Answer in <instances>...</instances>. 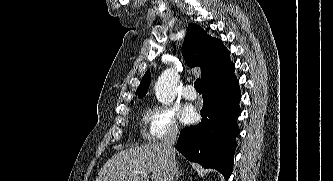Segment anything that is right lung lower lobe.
Here are the masks:
<instances>
[{"instance_id":"obj_1","label":"right lung lower lobe","mask_w":333,"mask_h":181,"mask_svg":"<svg viewBox=\"0 0 333 181\" xmlns=\"http://www.w3.org/2000/svg\"><path fill=\"white\" fill-rule=\"evenodd\" d=\"M202 95V120L180 132L176 149L188 160L218 170L228 180L233 169L236 136L240 132L238 81L231 73L202 87Z\"/></svg>"}]
</instances>
